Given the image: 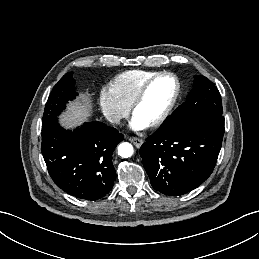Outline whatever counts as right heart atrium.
Returning <instances> with one entry per match:
<instances>
[{
	"mask_svg": "<svg viewBox=\"0 0 259 259\" xmlns=\"http://www.w3.org/2000/svg\"><path fill=\"white\" fill-rule=\"evenodd\" d=\"M99 102L103 114L113 124H119L129 115L130 107L123 103L111 88L101 89Z\"/></svg>",
	"mask_w": 259,
	"mask_h": 259,
	"instance_id": "1",
	"label": "right heart atrium"
}]
</instances>
